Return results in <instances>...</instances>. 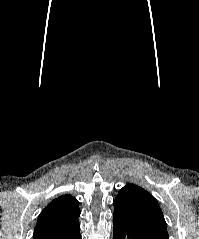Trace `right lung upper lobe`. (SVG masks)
Listing matches in <instances>:
<instances>
[{
    "label": "right lung upper lobe",
    "instance_id": "obj_1",
    "mask_svg": "<svg viewBox=\"0 0 199 239\" xmlns=\"http://www.w3.org/2000/svg\"><path fill=\"white\" fill-rule=\"evenodd\" d=\"M79 215L78 201L70 195L61 196L40 213L35 230L66 224L77 219Z\"/></svg>",
    "mask_w": 199,
    "mask_h": 239
}]
</instances>
